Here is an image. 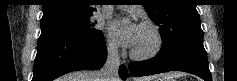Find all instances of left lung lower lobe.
I'll use <instances>...</instances> for the list:
<instances>
[{"instance_id": "obj_1", "label": "left lung lower lobe", "mask_w": 237, "mask_h": 81, "mask_svg": "<svg viewBox=\"0 0 237 81\" xmlns=\"http://www.w3.org/2000/svg\"><path fill=\"white\" fill-rule=\"evenodd\" d=\"M184 71L212 81L203 37L187 39L173 48L160 50L156 57L129 63L133 76H146L168 71Z\"/></svg>"}]
</instances>
